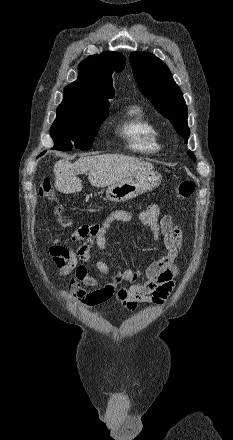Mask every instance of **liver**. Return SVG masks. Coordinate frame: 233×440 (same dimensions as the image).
<instances>
[{"label":"liver","mask_w":233,"mask_h":440,"mask_svg":"<svg viewBox=\"0 0 233 440\" xmlns=\"http://www.w3.org/2000/svg\"><path fill=\"white\" fill-rule=\"evenodd\" d=\"M154 166L135 157L104 154L80 157L76 162L64 160L54 165L55 188L65 194L80 192L83 184L79 174L89 172L88 180L92 186L113 185L133 174L153 170Z\"/></svg>","instance_id":"liver-1"}]
</instances>
